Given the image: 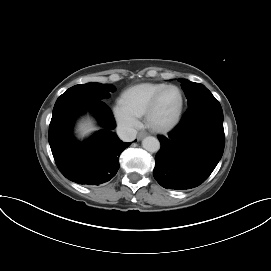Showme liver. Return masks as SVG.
<instances>
[{"instance_id": "6515ba94", "label": "liver", "mask_w": 271, "mask_h": 271, "mask_svg": "<svg viewBox=\"0 0 271 271\" xmlns=\"http://www.w3.org/2000/svg\"><path fill=\"white\" fill-rule=\"evenodd\" d=\"M94 130H96V127H94L90 120H86L79 125V131L82 136H85Z\"/></svg>"}]
</instances>
